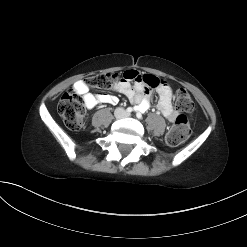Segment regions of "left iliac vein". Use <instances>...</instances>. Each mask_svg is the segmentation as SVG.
<instances>
[{
  "label": "left iliac vein",
  "mask_w": 247,
  "mask_h": 247,
  "mask_svg": "<svg viewBox=\"0 0 247 247\" xmlns=\"http://www.w3.org/2000/svg\"><path fill=\"white\" fill-rule=\"evenodd\" d=\"M131 115L128 113V114H126V117H130Z\"/></svg>",
  "instance_id": "obj_1"
}]
</instances>
